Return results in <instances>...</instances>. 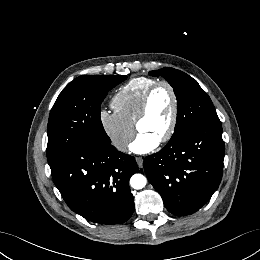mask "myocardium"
I'll list each match as a JSON object with an SVG mask.
<instances>
[{
  "instance_id": "obj_1",
  "label": "myocardium",
  "mask_w": 260,
  "mask_h": 260,
  "mask_svg": "<svg viewBox=\"0 0 260 260\" xmlns=\"http://www.w3.org/2000/svg\"><path fill=\"white\" fill-rule=\"evenodd\" d=\"M161 87H166L172 97L173 100V108H172V114H171V120L169 127L164 134V136L159 140L160 144L168 142L174 135L176 127H177V122H178V116H179V99L177 92L175 88L167 81H157L154 83L152 86L148 88L146 93L143 96V99L141 101L136 119H135V128L137 132H139V124L140 122L146 117L149 109V104L151 101V98L153 94Z\"/></svg>"
}]
</instances>
